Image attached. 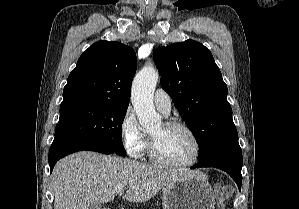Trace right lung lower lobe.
<instances>
[{"label": "right lung lower lobe", "instance_id": "obj_1", "mask_svg": "<svg viewBox=\"0 0 299 209\" xmlns=\"http://www.w3.org/2000/svg\"><path fill=\"white\" fill-rule=\"evenodd\" d=\"M83 150L95 151L103 154L115 153L113 149L101 143L87 142L68 137H55L49 151L50 171L52 172L54 165L62 157Z\"/></svg>", "mask_w": 299, "mask_h": 209}]
</instances>
